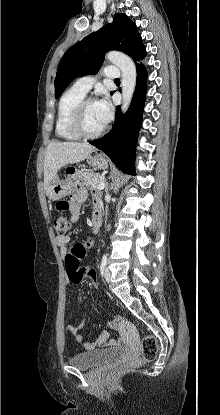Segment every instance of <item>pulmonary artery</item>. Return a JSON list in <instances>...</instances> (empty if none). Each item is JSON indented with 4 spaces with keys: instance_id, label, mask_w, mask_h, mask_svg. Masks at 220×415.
Returning a JSON list of instances; mask_svg holds the SVG:
<instances>
[{
    "instance_id": "e3ab8cb5",
    "label": "pulmonary artery",
    "mask_w": 220,
    "mask_h": 415,
    "mask_svg": "<svg viewBox=\"0 0 220 415\" xmlns=\"http://www.w3.org/2000/svg\"><path fill=\"white\" fill-rule=\"evenodd\" d=\"M105 76L108 78H118L120 76V70L116 66H107L105 68ZM96 81V77L84 76L75 81L73 88L83 94H86L93 87Z\"/></svg>"
}]
</instances>
